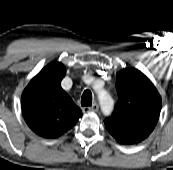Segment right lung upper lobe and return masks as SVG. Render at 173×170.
I'll use <instances>...</instances> for the list:
<instances>
[{"label": "right lung upper lobe", "mask_w": 173, "mask_h": 170, "mask_svg": "<svg viewBox=\"0 0 173 170\" xmlns=\"http://www.w3.org/2000/svg\"><path fill=\"white\" fill-rule=\"evenodd\" d=\"M66 74L60 62L45 66L22 93L21 107L31 130L44 138H57L71 129L82 112L62 89Z\"/></svg>", "instance_id": "cb5924a9"}]
</instances>
